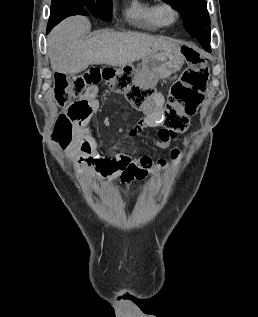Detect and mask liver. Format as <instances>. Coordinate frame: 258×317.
<instances>
[{"label": "liver", "instance_id": "obj_1", "mask_svg": "<svg viewBox=\"0 0 258 317\" xmlns=\"http://www.w3.org/2000/svg\"><path fill=\"white\" fill-rule=\"evenodd\" d=\"M87 16H68L48 34L50 64L55 72L78 74L89 64L124 66L140 60L151 52L171 50L178 46L173 38L151 36L143 32H109L97 30L90 38H81L90 32Z\"/></svg>", "mask_w": 258, "mask_h": 317}]
</instances>
